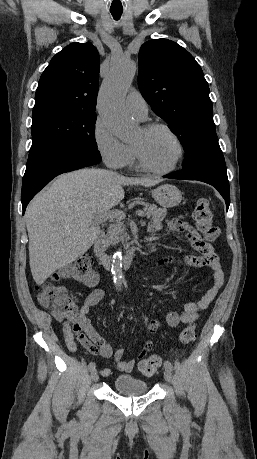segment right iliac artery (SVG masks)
<instances>
[{"label":"right iliac artery","instance_id":"1","mask_svg":"<svg viewBox=\"0 0 257 459\" xmlns=\"http://www.w3.org/2000/svg\"><path fill=\"white\" fill-rule=\"evenodd\" d=\"M95 367H96L95 363L94 362H90L89 365H88V370L92 372L93 370H95Z\"/></svg>","mask_w":257,"mask_h":459}]
</instances>
